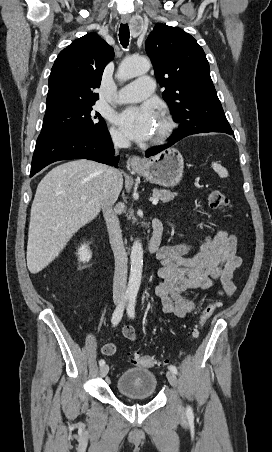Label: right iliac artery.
<instances>
[{
    "mask_svg": "<svg viewBox=\"0 0 272 452\" xmlns=\"http://www.w3.org/2000/svg\"><path fill=\"white\" fill-rule=\"evenodd\" d=\"M127 299H128V297L125 296L124 299L122 300V302L118 305V307L115 309V311H114V313H113L111 322H112V324H113L114 326L117 325V324L120 322V320H121V318H122V316H123L124 304H125V301H126ZM104 364H105V361H104L103 359H101V360L99 361V365H100V366H103Z\"/></svg>",
    "mask_w": 272,
    "mask_h": 452,
    "instance_id": "82829eb1",
    "label": "right iliac artery"
}]
</instances>
